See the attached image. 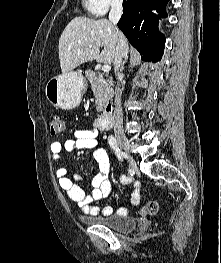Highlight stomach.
<instances>
[{"mask_svg": "<svg viewBox=\"0 0 221 263\" xmlns=\"http://www.w3.org/2000/svg\"><path fill=\"white\" fill-rule=\"evenodd\" d=\"M86 88V80L80 72L70 71L51 78L45 87L48 101L63 110L76 108Z\"/></svg>", "mask_w": 221, "mask_h": 263, "instance_id": "1", "label": "stomach"}]
</instances>
